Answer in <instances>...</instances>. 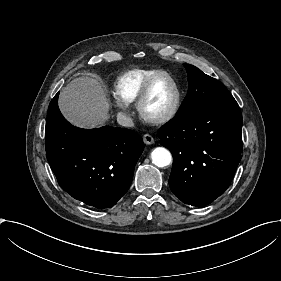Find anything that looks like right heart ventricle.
<instances>
[{"label": "right heart ventricle", "instance_id": "e07e8e85", "mask_svg": "<svg viewBox=\"0 0 281 281\" xmlns=\"http://www.w3.org/2000/svg\"><path fill=\"white\" fill-rule=\"evenodd\" d=\"M162 73H167V71L162 69H135L125 72L115 80L114 94L122 103H134L138 100L148 80Z\"/></svg>", "mask_w": 281, "mask_h": 281}]
</instances>
